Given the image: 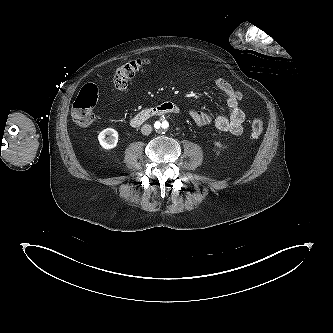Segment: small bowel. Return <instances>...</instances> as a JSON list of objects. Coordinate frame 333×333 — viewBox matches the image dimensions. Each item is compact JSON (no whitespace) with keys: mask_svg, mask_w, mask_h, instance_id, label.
<instances>
[{"mask_svg":"<svg viewBox=\"0 0 333 333\" xmlns=\"http://www.w3.org/2000/svg\"><path fill=\"white\" fill-rule=\"evenodd\" d=\"M215 86L226 100L229 109L228 114L212 117L203 110L192 108L189 110L191 119L201 128L213 124L221 132L240 135L243 132V123L245 121V113L240 107L242 94L223 78L216 79Z\"/></svg>","mask_w":333,"mask_h":333,"instance_id":"obj_1","label":"small bowel"}]
</instances>
